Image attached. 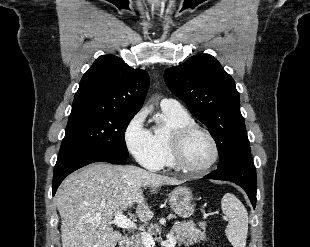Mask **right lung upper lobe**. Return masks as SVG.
Listing matches in <instances>:
<instances>
[{"label": "right lung upper lobe", "instance_id": "obj_1", "mask_svg": "<svg viewBox=\"0 0 310 247\" xmlns=\"http://www.w3.org/2000/svg\"><path fill=\"white\" fill-rule=\"evenodd\" d=\"M149 87L148 73L121 58L103 55L83 75L72 110H109L135 115Z\"/></svg>", "mask_w": 310, "mask_h": 247}]
</instances>
